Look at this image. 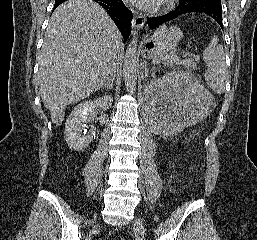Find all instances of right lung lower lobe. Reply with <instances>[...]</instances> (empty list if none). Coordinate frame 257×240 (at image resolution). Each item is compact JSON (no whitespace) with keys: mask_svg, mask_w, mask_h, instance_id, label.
<instances>
[{"mask_svg":"<svg viewBox=\"0 0 257 240\" xmlns=\"http://www.w3.org/2000/svg\"><path fill=\"white\" fill-rule=\"evenodd\" d=\"M99 3L111 16L119 28L124 42L129 38L131 32L132 12L125 7L122 0H94ZM59 5H55L54 9Z\"/></svg>","mask_w":257,"mask_h":240,"instance_id":"obj_1","label":"right lung lower lobe"}]
</instances>
